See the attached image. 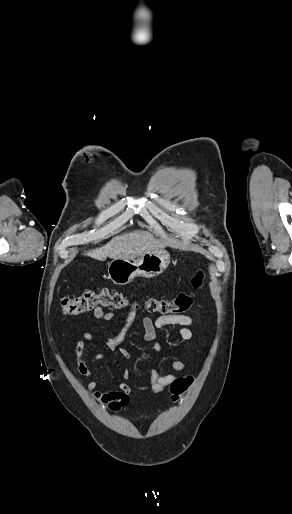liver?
Returning a JSON list of instances; mask_svg holds the SVG:
<instances>
[{
  "mask_svg": "<svg viewBox=\"0 0 292 514\" xmlns=\"http://www.w3.org/2000/svg\"><path fill=\"white\" fill-rule=\"evenodd\" d=\"M159 248H165L164 244H161L159 240H155L152 234L149 232H132V234H122V236H116L112 238L106 246L103 248H96L91 252H86L84 256H90L95 260H106V258H138L143 256L147 252H153V250H159Z\"/></svg>",
  "mask_w": 292,
  "mask_h": 514,
  "instance_id": "liver-1",
  "label": "liver"
}]
</instances>
